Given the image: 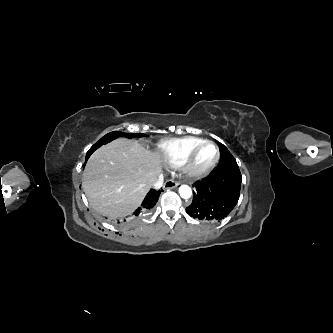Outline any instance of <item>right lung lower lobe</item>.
I'll list each match as a JSON object with an SVG mask.
<instances>
[{"instance_id": "obj_1", "label": "right lung lower lobe", "mask_w": 333, "mask_h": 333, "mask_svg": "<svg viewBox=\"0 0 333 333\" xmlns=\"http://www.w3.org/2000/svg\"><path fill=\"white\" fill-rule=\"evenodd\" d=\"M93 152H94L93 148H90L86 154L85 164ZM85 164H84V166H85ZM159 195H160L159 190L158 191L154 190V189L150 190L149 193L147 194V196L145 197L144 201L142 202L141 206L138 209H136L134 214L135 215H139L141 213L143 214V213L149 211L150 209H152L155 206V204L157 203Z\"/></svg>"}]
</instances>
